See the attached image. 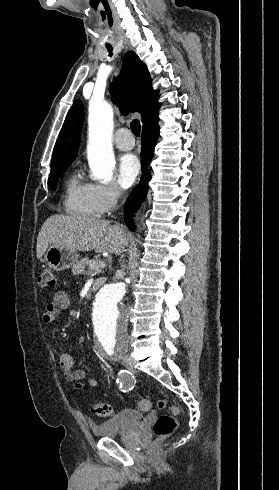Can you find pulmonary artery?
Masks as SVG:
<instances>
[{
  "label": "pulmonary artery",
  "instance_id": "e3ab8cb5",
  "mask_svg": "<svg viewBox=\"0 0 279 490\" xmlns=\"http://www.w3.org/2000/svg\"><path fill=\"white\" fill-rule=\"evenodd\" d=\"M116 135L114 144L121 151H129L137 144L136 137H128V128H117Z\"/></svg>",
  "mask_w": 279,
  "mask_h": 490
}]
</instances>
